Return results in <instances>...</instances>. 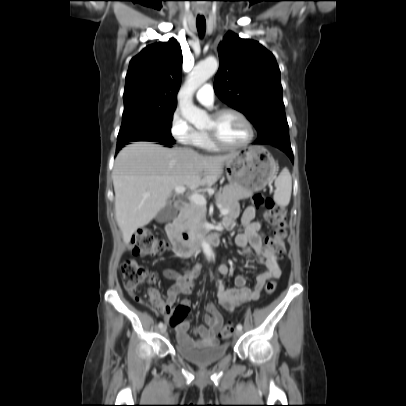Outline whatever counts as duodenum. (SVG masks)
Wrapping results in <instances>:
<instances>
[{"mask_svg":"<svg viewBox=\"0 0 406 406\" xmlns=\"http://www.w3.org/2000/svg\"><path fill=\"white\" fill-rule=\"evenodd\" d=\"M175 208L181 213L185 210L186 203L184 201H177ZM165 230L174 250L183 257L192 255L203 243L218 246L221 242V233L218 230L203 232L196 236L182 233L179 230V222L176 219L169 221L166 224Z\"/></svg>","mask_w":406,"mask_h":406,"instance_id":"duodenum-1","label":"duodenum"}]
</instances>
